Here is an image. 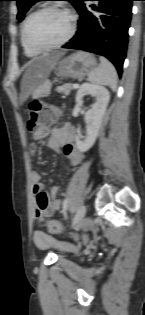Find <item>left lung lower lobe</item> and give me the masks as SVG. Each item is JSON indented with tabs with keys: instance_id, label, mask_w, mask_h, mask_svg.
Here are the masks:
<instances>
[{
	"instance_id": "0a47b994",
	"label": "left lung lower lobe",
	"mask_w": 145,
	"mask_h": 315,
	"mask_svg": "<svg viewBox=\"0 0 145 315\" xmlns=\"http://www.w3.org/2000/svg\"><path fill=\"white\" fill-rule=\"evenodd\" d=\"M79 0L75 7L80 15L78 31L63 48L79 49L108 58L122 74L128 45V29L133 0L96 1L91 10Z\"/></svg>"
}]
</instances>
